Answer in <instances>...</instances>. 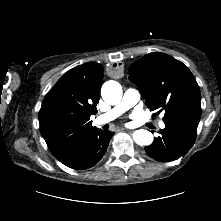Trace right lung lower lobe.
<instances>
[{
	"label": "right lung lower lobe",
	"mask_w": 221,
	"mask_h": 221,
	"mask_svg": "<svg viewBox=\"0 0 221 221\" xmlns=\"http://www.w3.org/2000/svg\"><path fill=\"white\" fill-rule=\"evenodd\" d=\"M113 134L96 128L56 158L73 169L91 168L104 156Z\"/></svg>",
	"instance_id": "98d812e1"
}]
</instances>
